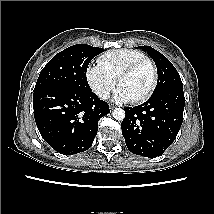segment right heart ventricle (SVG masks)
Returning a JSON list of instances; mask_svg holds the SVG:
<instances>
[{
    "label": "right heart ventricle",
    "mask_w": 214,
    "mask_h": 214,
    "mask_svg": "<svg viewBox=\"0 0 214 214\" xmlns=\"http://www.w3.org/2000/svg\"><path fill=\"white\" fill-rule=\"evenodd\" d=\"M142 58H145L143 52L122 48L104 53L99 57L98 63H100L113 77L118 78L125 67Z\"/></svg>",
    "instance_id": "obj_1"
}]
</instances>
